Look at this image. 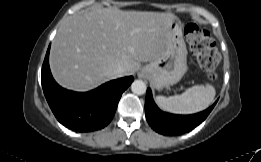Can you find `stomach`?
<instances>
[{
	"label": "stomach",
	"mask_w": 261,
	"mask_h": 162,
	"mask_svg": "<svg viewBox=\"0 0 261 162\" xmlns=\"http://www.w3.org/2000/svg\"><path fill=\"white\" fill-rule=\"evenodd\" d=\"M187 49L181 23L174 19L169 23L166 47L160 57L146 65L141 74L156 89L176 84L187 71Z\"/></svg>",
	"instance_id": "obj_1"
}]
</instances>
